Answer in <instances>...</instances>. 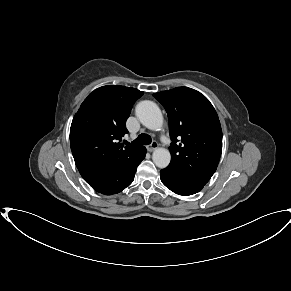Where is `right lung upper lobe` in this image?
I'll use <instances>...</instances> for the list:
<instances>
[{"instance_id": "right-lung-upper-lobe-1", "label": "right lung upper lobe", "mask_w": 291, "mask_h": 291, "mask_svg": "<svg viewBox=\"0 0 291 291\" xmlns=\"http://www.w3.org/2000/svg\"><path fill=\"white\" fill-rule=\"evenodd\" d=\"M142 95L138 89L120 85L103 86L89 94L70 128L71 150L78 170L117 168L143 148L124 147L118 142L128 133L126 120Z\"/></svg>"}]
</instances>
